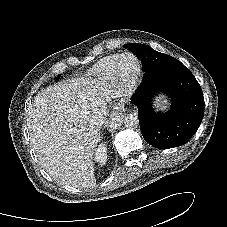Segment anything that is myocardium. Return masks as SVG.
<instances>
[{"instance_id":"1","label":"myocardium","mask_w":227,"mask_h":227,"mask_svg":"<svg viewBox=\"0 0 227 227\" xmlns=\"http://www.w3.org/2000/svg\"><path fill=\"white\" fill-rule=\"evenodd\" d=\"M130 57L134 60L135 62V69L130 75H125L122 71V62L125 58ZM141 62L139 58L130 52L123 53L119 56L117 63L115 65L114 71H113V77L120 83L124 84L127 87H133L135 86L141 76Z\"/></svg>"}]
</instances>
